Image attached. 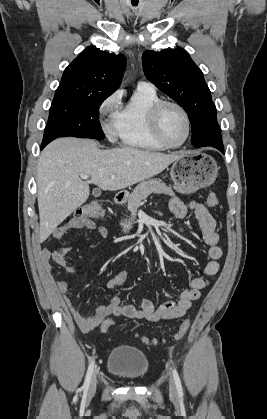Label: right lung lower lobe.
<instances>
[{
	"instance_id": "obj_1",
	"label": "right lung lower lobe",
	"mask_w": 267,
	"mask_h": 419,
	"mask_svg": "<svg viewBox=\"0 0 267 419\" xmlns=\"http://www.w3.org/2000/svg\"><path fill=\"white\" fill-rule=\"evenodd\" d=\"M50 141H52V138H49V139L43 138L41 149H43Z\"/></svg>"
}]
</instances>
